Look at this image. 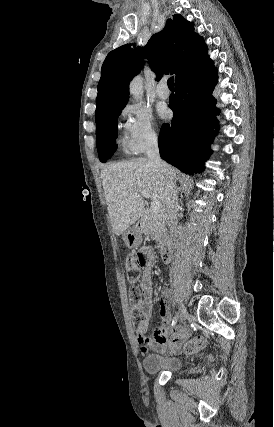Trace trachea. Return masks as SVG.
<instances>
[{
  "mask_svg": "<svg viewBox=\"0 0 274 427\" xmlns=\"http://www.w3.org/2000/svg\"><path fill=\"white\" fill-rule=\"evenodd\" d=\"M167 85H168L169 88H174V77H170L167 80Z\"/></svg>",
  "mask_w": 274,
  "mask_h": 427,
  "instance_id": "obj_1",
  "label": "trachea"
}]
</instances>
